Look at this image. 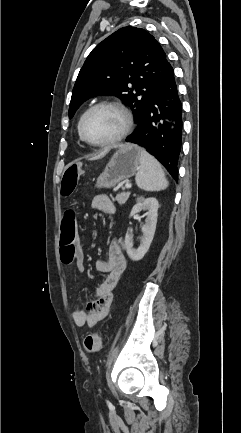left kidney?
Instances as JSON below:
<instances>
[{
  "label": "left kidney",
  "instance_id": "obj_1",
  "mask_svg": "<svg viewBox=\"0 0 241 433\" xmlns=\"http://www.w3.org/2000/svg\"><path fill=\"white\" fill-rule=\"evenodd\" d=\"M158 208L159 204L155 198L138 197L137 203L131 210L130 217L141 210H147L145 224L142 226L143 238L140 246L137 249L133 248L132 235L128 231L125 236V248L132 261L141 260L149 250L156 230Z\"/></svg>",
  "mask_w": 241,
  "mask_h": 433
}]
</instances>
